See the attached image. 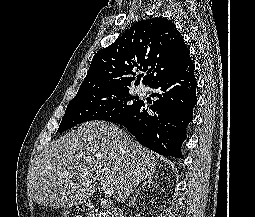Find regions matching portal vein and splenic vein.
<instances>
[{
    "label": "portal vein and splenic vein",
    "mask_w": 255,
    "mask_h": 217,
    "mask_svg": "<svg viewBox=\"0 0 255 217\" xmlns=\"http://www.w3.org/2000/svg\"><path fill=\"white\" fill-rule=\"evenodd\" d=\"M101 188L104 191L106 197H110L113 195L114 189L112 186L108 184V182L105 179H101Z\"/></svg>",
    "instance_id": "1"
}]
</instances>
